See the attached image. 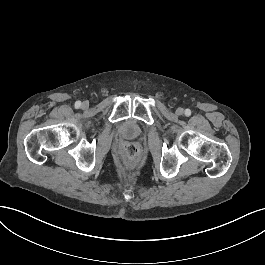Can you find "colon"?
I'll list each match as a JSON object with an SVG mask.
<instances>
[{
    "mask_svg": "<svg viewBox=\"0 0 265 265\" xmlns=\"http://www.w3.org/2000/svg\"><path fill=\"white\" fill-rule=\"evenodd\" d=\"M127 151L130 152V154H134V153H136L137 148L135 146H133V145H128L127 146Z\"/></svg>",
    "mask_w": 265,
    "mask_h": 265,
    "instance_id": "colon-1",
    "label": "colon"
}]
</instances>
